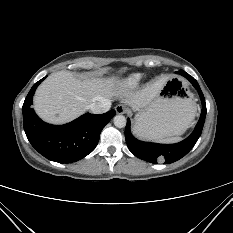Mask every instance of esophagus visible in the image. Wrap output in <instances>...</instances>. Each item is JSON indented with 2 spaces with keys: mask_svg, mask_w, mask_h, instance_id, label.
<instances>
[{
  "mask_svg": "<svg viewBox=\"0 0 233 233\" xmlns=\"http://www.w3.org/2000/svg\"><path fill=\"white\" fill-rule=\"evenodd\" d=\"M115 111L117 114H125L127 113L128 109L126 108V106L119 104L115 107Z\"/></svg>",
  "mask_w": 233,
  "mask_h": 233,
  "instance_id": "obj_1",
  "label": "esophagus"
}]
</instances>
